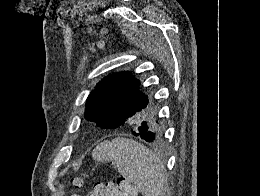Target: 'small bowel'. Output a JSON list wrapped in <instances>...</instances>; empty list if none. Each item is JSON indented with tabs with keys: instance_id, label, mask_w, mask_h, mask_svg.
Returning a JSON list of instances; mask_svg holds the SVG:
<instances>
[{
	"instance_id": "1",
	"label": "small bowel",
	"mask_w": 260,
	"mask_h": 196,
	"mask_svg": "<svg viewBox=\"0 0 260 196\" xmlns=\"http://www.w3.org/2000/svg\"><path fill=\"white\" fill-rule=\"evenodd\" d=\"M92 196H102L100 192L92 191Z\"/></svg>"
}]
</instances>
